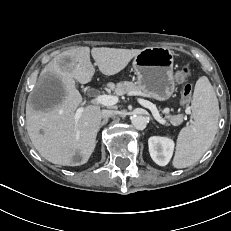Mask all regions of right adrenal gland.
<instances>
[{
    "label": "right adrenal gland",
    "mask_w": 231,
    "mask_h": 231,
    "mask_svg": "<svg viewBox=\"0 0 231 231\" xmlns=\"http://www.w3.org/2000/svg\"><path fill=\"white\" fill-rule=\"evenodd\" d=\"M107 122H108V119H104V120L101 122V124H100V128H101L103 125L107 124Z\"/></svg>",
    "instance_id": "right-adrenal-gland-1"
}]
</instances>
